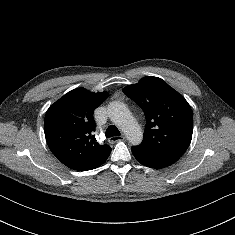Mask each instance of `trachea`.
Masks as SVG:
<instances>
[{"label":"trachea","mask_w":235,"mask_h":235,"mask_svg":"<svg viewBox=\"0 0 235 235\" xmlns=\"http://www.w3.org/2000/svg\"><path fill=\"white\" fill-rule=\"evenodd\" d=\"M105 135L107 138L113 137V136H120V131L118 130V128L115 125H110L107 128Z\"/></svg>","instance_id":"3493384b"}]
</instances>
